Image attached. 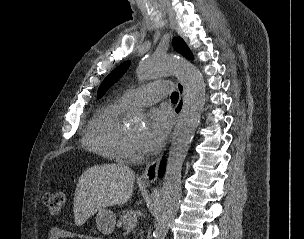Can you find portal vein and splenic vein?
Returning <instances> with one entry per match:
<instances>
[{
  "instance_id": "obj_1",
  "label": "portal vein and splenic vein",
  "mask_w": 304,
  "mask_h": 239,
  "mask_svg": "<svg viewBox=\"0 0 304 239\" xmlns=\"http://www.w3.org/2000/svg\"><path fill=\"white\" fill-rule=\"evenodd\" d=\"M136 223H137L136 219L133 220V221H131V222L129 223V225H128V229L134 228V227L136 226Z\"/></svg>"
}]
</instances>
